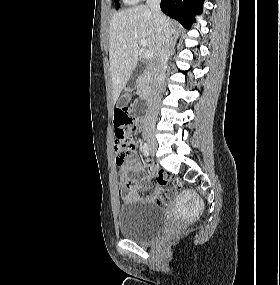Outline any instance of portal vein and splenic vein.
<instances>
[{
	"instance_id": "portal-vein-and-splenic-vein-1",
	"label": "portal vein and splenic vein",
	"mask_w": 280,
	"mask_h": 285,
	"mask_svg": "<svg viewBox=\"0 0 280 285\" xmlns=\"http://www.w3.org/2000/svg\"><path fill=\"white\" fill-rule=\"evenodd\" d=\"M139 44L141 47L145 48L147 46V41L142 39L139 41ZM144 58L147 59V60H150L153 58V52L150 51V50H146L144 51Z\"/></svg>"
}]
</instances>
